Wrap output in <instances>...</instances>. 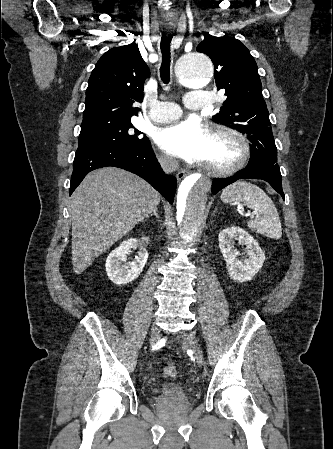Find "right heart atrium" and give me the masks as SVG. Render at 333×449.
Returning a JSON list of instances; mask_svg holds the SVG:
<instances>
[{
    "label": "right heart atrium",
    "instance_id": "obj_1",
    "mask_svg": "<svg viewBox=\"0 0 333 449\" xmlns=\"http://www.w3.org/2000/svg\"><path fill=\"white\" fill-rule=\"evenodd\" d=\"M159 162L165 169H169V170L174 169L176 166L174 159H172L171 157L166 156V155H160Z\"/></svg>",
    "mask_w": 333,
    "mask_h": 449
}]
</instances>
